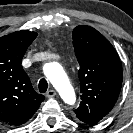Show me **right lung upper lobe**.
<instances>
[{"instance_id": "right-lung-upper-lobe-1", "label": "right lung upper lobe", "mask_w": 133, "mask_h": 133, "mask_svg": "<svg viewBox=\"0 0 133 133\" xmlns=\"http://www.w3.org/2000/svg\"><path fill=\"white\" fill-rule=\"evenodd\" d=\"M36 36L22 30L0 38V121L11 126L27 122L45 99L35 92L21 65Z\"/></svg>"}]
</instances>
